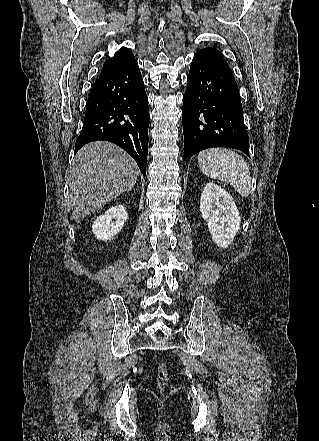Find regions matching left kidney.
Masks as SVG:
<instances>
[{
  "label": "left kidney",
  "mask_w": 319,
  "mask_h": 441,
  "mask_svg": "<svg viewBox=\"0 0 319 441\" xmlns=\"http://www.w3.org/2000/svg\"><path fill=\"white\" fill-rule=\"evenodd\" d=\"M200 210L213 241L218 247L227 248L233 242L241 221L232 196L215 183H208L201 194Z\"/></svg>",
  "instance_id": "1"
}]
</instances>
